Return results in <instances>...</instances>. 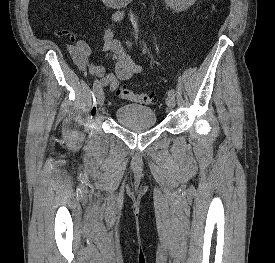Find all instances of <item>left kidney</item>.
Returning a JSON list of instances; mask_svg holds the SVG:
<instances>
[{"instance_id": "5707ae66", "label": "left kidney", "mask_w": 275, "mask_h": 263, "mask_svg": "<svg viewBox=\"0 0 275 263\" xmlns=\"http://www.w3.org/2000/svg\"><path fill=\"white\" fill-rule=\"evenodd\" d=\"M196 0H165L166 4L176 12H182L194 4Z\"/></svg>"}]
</instances>
